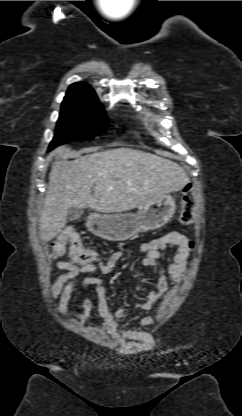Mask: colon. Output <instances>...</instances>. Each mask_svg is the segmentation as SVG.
Masks as SVG:
<instances>
[{
    "instance_id": "1",
    "label": "colon",
    "mask_w": 242,
    "mask_h": 416,
    "mask_svg": "<svg viewBox=\"0 0 242 416\" xmlns=\"http://www.w3.org/2000/svg\"><path fill=\"white\" fill-rule=\"evenodd\" d=\"M197 200L191 185H187L183 191L182 206L178 222L180 225H190L195 218ZM193 247V243L190 244ZM67 254L70 261L75 264H88L97 258V253L86 247L80 236L72 230H63L53 242L50 250L52 259H58Z\"/></svg>"
}]
</instances>
